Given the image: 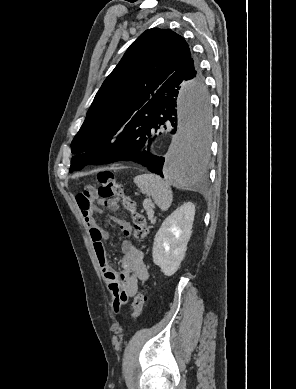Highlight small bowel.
Instances as JSON below:
<instances>
[{
  "label": "small bowel",
  "instance_id": "1",
  "mask_svg": "<svg viewBox=\"0 0 296 389\" xmlns=\"http://www.w3.org/2000/svg\"><path fill=\"white\" fill-rule=\"evenodd\" d=\"M76 200L83 221L89 230L100 269L112 295L113 307L115 310H118L137 293L139 282H145L149 278V273L144 262V254L130 240L126 239L122 241L120 245L122 253L120 265L122 270L120 273L115 271L107 260L104 248V242L108 239L109 235L96 224L94 218V212L96 211L94 202L97 201L113 210L117 209V206L107 205L104 201L98 199L93 189L78 194ZM111 220L118 224L124 237L128 238L131 236L132 228L127 221L114 217Z\"/></svg>",
  "mask_w": 296,
  "mask_h": 389
}]
</instances>
